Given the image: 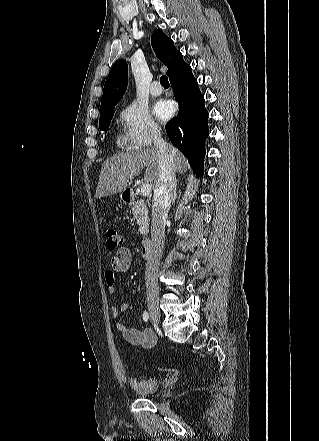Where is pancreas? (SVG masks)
Listing matches in <instances>:
<instances>
[{
	"label": "pancreas",
	"instance_id": "cf45deb5",
	"mask_svg": "<svg viewBox=\"0 0 319 441\" xmlns=\"http://www.w3.org/2000/svg\"><path fill=\"white\" fill-rule=\"evenodd\" d=\"M132 214L139 225V232L146 236L149 231L148 209L143 200L135 202L132 206Z\"/></svg>",
	"mask_w": 319,
	"mask_h": 441
}]
</instances>
